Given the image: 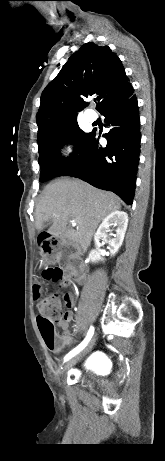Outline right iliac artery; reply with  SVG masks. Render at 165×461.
I'll list each match as a JSON object with an SVG mask.
<instances>
[{"instance_id":"82829eb1","label":"right iliac artery","mask_w":165,"mask_h":461,"mask_svg":"<svg viewBox=\"0 0 165 461\" xmlns=\"http://www.w3.org/2000/svg\"><path fill=\"white\" fill-rule=\"evenodd\" d=\"M94 334V328L93 327H90L89 331H88V334L86 336V338L84 339V341L79 344L76 348H74L72 351H70L64 358L65 361H68L70 358H72L73 356H75L77 353H79L86 345L87 343L89 342V340L91 339V337L93 336Z\"/></svg>"}]
</instances>
